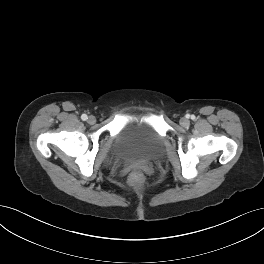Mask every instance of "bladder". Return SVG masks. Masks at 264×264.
<instances>
[{
    "mask_svg": "<svg viewBox=\"0 0 264 264\" xmlns=\"http://www.w3.org/2000/svg\"><path fill=\"white\" fill-rule=\"evenodd\" d=\"M163 148V139L151 124L133 122L115 136L107 161L111 164L148 163L155 160Z\"/></svg>",
    "mask_w": 264,
    "mask_h": 264,
    "instance_id": "bladder-1",
    "label": "bladder"
}]
</instances>
